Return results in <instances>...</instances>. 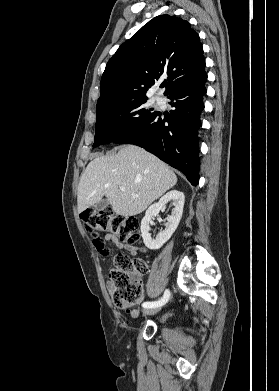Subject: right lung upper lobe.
Masks as SVG:
<instances>
[{
	"label": "right lung upper lobe",
	"instance_id": "obj_1",
	"mask_svg": "<svg viewBox=\"0 0 279 391\" xmlns=\"http://www.w3.org/2000/svg\"><path fill=\"white\" fill-rule=\"evenodd\" d=\"M199 35L188 21L160 15L123 43L106 65L96 114L146 98L159 79L164 95L204 72Z\"/></svg>",
	"mask_w": 279,
	"mask_h": 391
}]
</instances>
